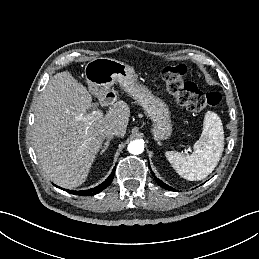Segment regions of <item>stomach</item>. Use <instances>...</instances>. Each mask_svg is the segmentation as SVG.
<instances>
[{"label":"stomach","mask_w":259,"mask_h":259,"mask_svg":"<svg viewBox=\"0 0 259 259\" xmlns=\"http://www.w3.org/2000/svg\"><path fill=\"white\" fill-rule=\"evenodd\" d=\"M85 78L89 90L94 93L105 92L118 82L150 118L155 140H166L172 135L173 124L168 105L139 82L132 66L112 58H95L86 64Z\"/></svg>","instance_id":"stomach-1"}]
</instances>
